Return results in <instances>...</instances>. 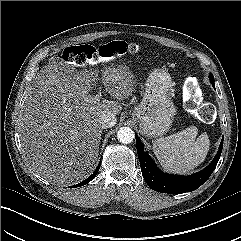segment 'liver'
I'll list each match as a JSON object with an SVG mask.
<instances>
[{
    "label": "liver",
    "mask_w": 241,
    "mask_h": 241,
    "mask_svg": "<svg viewBox=\"0 0 241 241\" xmlns=\"http://www.w3.org/2000/svg\"><path fill=\"white\" fill-rule=\"evenodd\" d=\"M98 71H77L52 61L37 73L19 121L23 153L31 168L57 185L82 181L94 170L102 127L99 116L117 115L119 101L134 91V76L126 65L108 66L102 83L113 100L90 95Z\"/></svg>",
    "instance_id": "1"
}]
</instances>
